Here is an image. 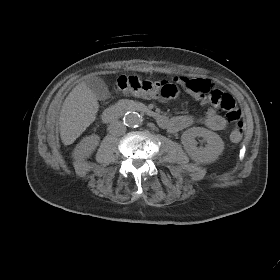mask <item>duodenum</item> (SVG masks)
I'll list each match as a JSON object with an SVG mask.
<instances>
[{"label":"duodenum","mask_w":280,"mask_h":280,"mask_svg":"<svg viewBox=\"0 0 280 280\" xmlns=\"http://www.w3.org/2000/svg\"><path fill=\"white\" fill-rule=\"evenodd\" d=\"M126 111L147 112L155 118V120L157 121V123L160 127H164L168 124V117H166L162 114L150 111L141 104H120V105L111 106L103 112L102 120L104 123H112L115 120H117Z\"/></svg>","instance_id":"1"}]
</instances>
